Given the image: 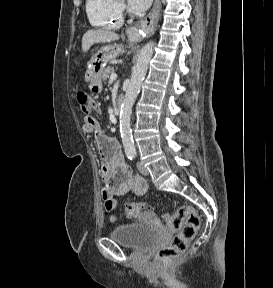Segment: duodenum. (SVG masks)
<instances>
[{
  "label": "duodenum",
  "mask_w": 273,
  "mask_h": 288,
  "mask_svg": "<svg viewBox=\"0 0 273 288\" xmlns=\"http://www.w3.org/2000/svg\"><path fill=\"white\" fill-rule=\"evenodd\" d=\"M124 104H125L124 97L122 95H119L117 102H116L118 110H121L124 107Z\"/></svg>",
  "instance_id": "obj_1"
}]
</instances>
